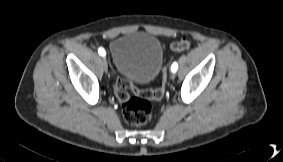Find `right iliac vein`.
<instances>
[{
	"label": "right iliac vein",
	"instance_id": "63e3f726",
	"mask_svg": "<svg viewBox=\"0 0 283 162\" xmlns=\"http://www.w3.org/2000/svg\"><path fill=\"white\" fill-rule=\"evenodd\" d=\"M102 66H103V69L105 71H107V69H108V62H107V60L105 58L102 61Z\"/></svg>",
	"mask_w": 283,
	"mask_h": 162
}]
</instances>
